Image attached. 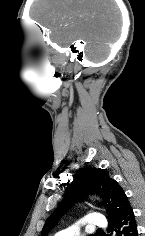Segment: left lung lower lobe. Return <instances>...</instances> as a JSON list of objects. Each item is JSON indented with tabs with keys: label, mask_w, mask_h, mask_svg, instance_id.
<instances>
[{
	"label": "left lung lower lobe",
	"mask_w": 145,
	"mask_h": 236,
	"mask_svg": "<svg viewBox=\"0 0 145 236\" xmlns=\"http://www.w3.org/2000/svg\"><path fill=\"white\" fill-rule=\"evenodd\" d=\"M109 236H137V225L132 207L125 213L109 221Z\"/></svg>",
	"instance_id": "left-lung-lower-lobe-1"
}]
</instances>
